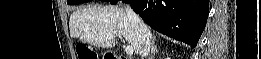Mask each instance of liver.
<instances>
[{
  "label": "liver",
  "instance_id": "6515ba94",
  "mask_svg": "<svg viewBox=\"0 0 261 59\" xmlns=\"http://www.w3.org/2000/svg\"><path fill=\"white\" fill-rule=\"evenodd\" d=\"M70 35L102 48H112L123 36L136 54H141L137 34L126 11L118 6H87L74 11L69 20Z\"/></svg>",
  "mask_w": 261,
  "mask_h": 59
}]
</instances>
